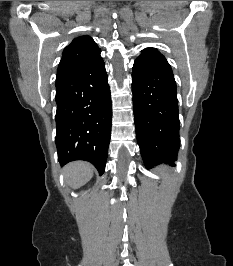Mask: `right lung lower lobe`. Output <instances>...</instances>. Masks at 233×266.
Listing matches in <instances>:
<instances>
[{"instance_id":"obj_1","label":"right lung lower lobe","mask_w":233,"mask_h":266,"mask_svg":"<svg viewBox=\"0 0 233 266\" xmlns=\"http://www.w3.org/2000/svg\"><path fill=\"white\" fill-rule=\"evenodd\" d=\"M56 146L63 166L91 162L102 175L108 155L112 104L105 63L99 55L83 69L56 82Z\"/></svg>"}]
</instances>
